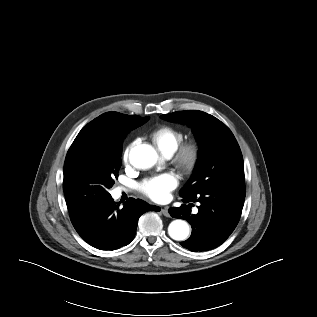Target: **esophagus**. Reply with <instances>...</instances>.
I'll list each match as a JSON object with an SVG mask.
<instances>
[{
	"instance_id": "obj_1",
	"label": "esophagus",
	"mask_w": 317,
	"mask_h": 317,
	"mask_svg": "<svg viewBox=\"0 0 317 317\" xmlns=\"http://www.w3.org/2000/svg\"><path fill=\"white\" fill-rule=\"evenodd\" d=\"M161 213L165 216V217H170V214L168 212V208L164 207L161 209Z\"/></svg>"
}]
</instances>
